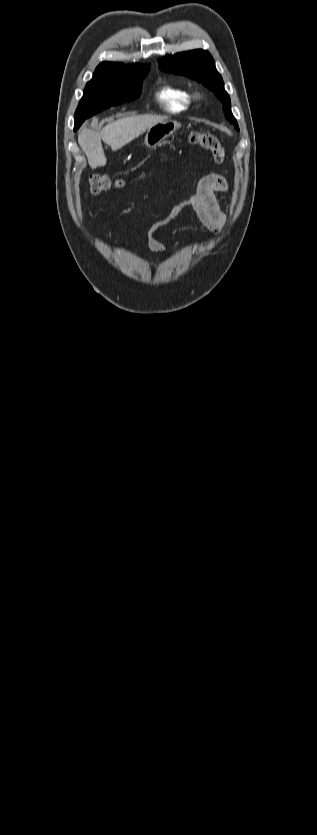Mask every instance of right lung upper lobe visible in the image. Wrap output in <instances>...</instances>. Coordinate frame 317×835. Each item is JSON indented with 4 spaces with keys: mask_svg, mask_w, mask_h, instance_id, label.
<instances>
[{
    "mask_svg": "<svg viewBox=\"0 0 317 835\" xmlns=\"http://www.w3.org/2000/svg\"><path fill=\"white\" fill-rule=\"evenodd\" d=\"M145 66H147V65H145ZM142 67H144V66L138 65V64H132L131 66L127 67L123 63L102 62L96 68V71H95L93 76L97 77V76H101V75L106 74V73L115 72V71H122V70L134 71V70L141 69Z\"/></svg>",
    "mask_w": 317,
    "mask_h": 835,
    "instance_id": "obj_1",
    "label": "right lung upper lobe"
}]
</instances>
